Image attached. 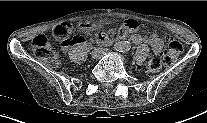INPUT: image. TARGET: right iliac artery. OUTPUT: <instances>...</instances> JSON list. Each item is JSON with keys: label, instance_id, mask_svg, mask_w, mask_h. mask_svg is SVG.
<instances>
[{"label": "right iliac artery", "instance_id": "right-iliac-artery-1", "mask_svg": "<svg viewBox=\"0 0 207 123\" xmlns=\"http://www.w3.org/2000/svg\"><path fill=\"white\" fill-rule=\"evenodd\" d=\"M122 47H124V46L121 45V44H118V45H117V48H122Z\"/></svg>", "mask_w": 207, "mask_h": 123}]
</instances>
